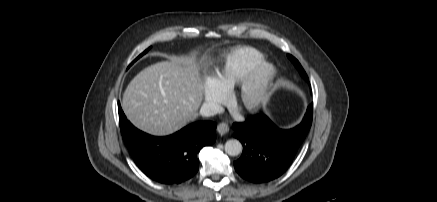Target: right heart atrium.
<instances>
[{
    "instance_id": "right-heart-atrium-1",
    "label": "right heart atrium",
    "mask_w": 437,
    "mask_h": 202,
    "mask_svg": "<svg viewBox=\"0 0 437 202\" xmlns=\"http://www.w3.org/2000/svg\"><path fill=\"white\" fill-rule=\"evenodd\" d=\"M203 96L206 105L217 108L226 101V90L220 87L213 78H207L203 86Z\"/></svg>"
}]
</instances>
